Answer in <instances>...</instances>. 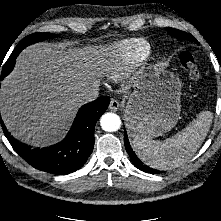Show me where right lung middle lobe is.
I'll use <instances>...</instances> for the list:
<instances>
[{
  "mask_svg": "<svg viewBox=\"0 0 221 221\" xmlns=\"http://www.w3.org/2000/svg\"><path fill=\"white\" fill-rule=\"evenodd\" d=\"M57 37V35L55 34H51V33H34V34H31L29 36H27L24 40H23V43H26V46L32 44V43H35V42H38V41H42V40H45V39H48V38H55ZM14 66H10V64L8 63L4 69L2 70V78L5 77L7 74H9L12 69H13Z\"/></svg>",
  "mask_w": 221,
  "mask_h": 221,
  "instance_id": "1",
  "label": "right lung middle lobe"
}]
</instances>
